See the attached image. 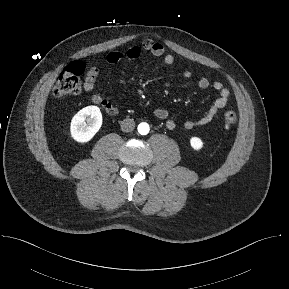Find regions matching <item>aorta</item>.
<instances>
[{"instance_id": "1", "label": "aorta", "mask_w": 289, "mask_h": 289, "mask_svg": "<svg viewBox=\"0 0 289 289\" xmlns=\"http://www.w3.org/2000/svg\"><path fill=\"white\" fill-rule=\"evenodd\" d=\"M150 128H149V125L145 122L143 123H140L138 125V132L141 134V135H146L148 134Z\"/></svg>"}]
</instances>
